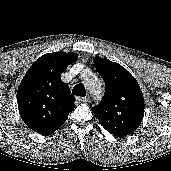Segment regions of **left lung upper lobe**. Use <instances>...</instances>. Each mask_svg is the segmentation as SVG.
Masks as SVG:
<instances>
[{
    "mask_svg": "<svg viewBox=\"0 0 171 171\" xmlns=\"http://www.w3.org/2000/svg\"><path fill=\"white\" fill-rule=\"evenodd\" d=\"M94 64L105 82V94L92 112L108 131L132 133L144 114V100L137 81L124 67L108 59L95 58Z\"/></svg>",
    "mask_w": 171,
    "mask_h": 171,
    "instance_id": "1",
    "label": "left lung upper lobe"
}]
</instances>
